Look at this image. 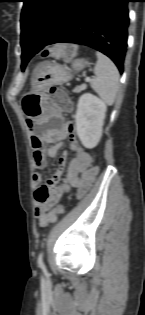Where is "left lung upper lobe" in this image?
<instances>
[{"label": "left lung upper lobe", "instance_id": "1", "mask_svg": "<svg viewBox=\"0 0 145 315\" xmlns=\"http://www.w3.org/2000/svg\"><path fill=\"white\" fill-rule=\"evenodd\" d=\"M21 12V38L27 35L46 42L53 37L64 22L74 0H23ZM39 42V43H40ZM30 58H22V70Z\"/></svg>", "mask_w": 145, "mask_h": 315}]
</instances>
